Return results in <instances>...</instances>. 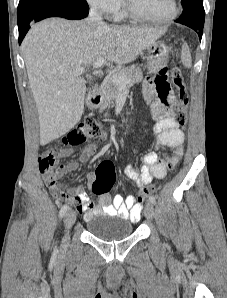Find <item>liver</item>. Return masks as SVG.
I'll return each mask as SVG.
<instances>
[{
    "mask_svg": "<svg viewBox=\"0 0 227 298\" xmlns=\"http://www.w3.org/2000/svg\"><path fill=\"white\" fill-rule=\"evenodd\" d=\"M165 33L162 28L99 26L62 18L33 25L21 49L38 110L40 144L63 136L82 117L86 80L74 75L77 69L100 58L109 64L131 63Z\"/></svg>",
    "mask_w": 227,
    "mask_h": 298,
    "instance_id": "obj_1",
    "label": "liver"
}]
</instances>
